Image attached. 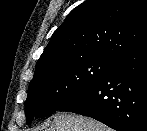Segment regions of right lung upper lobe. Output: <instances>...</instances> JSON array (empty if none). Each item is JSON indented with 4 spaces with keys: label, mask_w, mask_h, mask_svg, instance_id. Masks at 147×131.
Here are the masks:
<instances>
[{
    "label": "right lung upper lobe",
    "mask_w": 147,
    "mask_h": 131,
    "mask_svg": "<svg viewBox=\"0 0 147 131\" xmlns=\"http://www.w3.org/2000/svg\"><path fill=\"white\" fill-rule=\"evenodd\" d=\"M147 42V0H86L52 35L35 74L92 57L117 60Z\"/></svg>",
    "instance_id": "obj_1"
}]
</instances>
